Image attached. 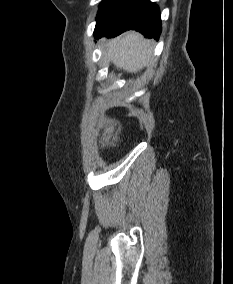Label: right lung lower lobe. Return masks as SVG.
Masks as SVG:
<instances>
[{
    "instance_id": "1",
    "label": "right lung lower lobe",
    "mask_w": 233,
    "mask_h": 284,
    "mask_svg": "<svg viewBox=\"0 0 233 284\" xmlns=\"http://www.w3.org/2000/svg\"><path fill=\"white\" fill-rule=\"evenodd\" d=\"M127 30H137L158 40L161 33L158 6L149 0H113L97 18L94 36L115 37Z\"/></svg>"
}]
</instances>
